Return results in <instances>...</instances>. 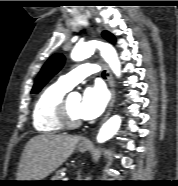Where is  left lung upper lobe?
Masks as SVG:
<instances>
[{"instance_id":"5c2ea615","label":"left lung upper lobe","mask_w":178,"mask_h":186,"mask_svg":"<svg viewBox=\"0 0 178 186\" xmlns=\"http://www.w3.org/2000/svg\"><path fill=\"white\" fill-rule=\"evenodd\" d=\"M103 37L106 38L108 41L110 42H115V38L114 36L107 32L104 31L102 33ZM65 62V57L60 54V53H56L54 55H52L47 62L44 64V66L42 67V69L40 70L33 89H32V93H37L39 92L42 87L56 74L58 73V71L63 67Z\"/></svg>"}]
</instances>
